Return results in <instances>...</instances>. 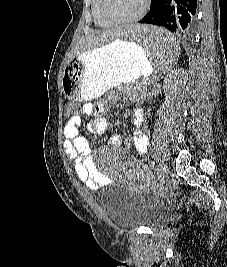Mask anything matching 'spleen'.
<instances>
[{"label": "spleen", "instance_id": "1", "mask_svg": "<svg viewBox=\"0 0 227 267\" xmlns=\"http://www.w3.org/2000/svg\"><path fill=\"white\" fill-rule=\"evenodd\" d=\"M118 30H127L122 33L120 41L138 43L144 47L149 63H153V72L156 77H167V72H172L176 67L180 46L177 38L157 27V23L128 22V25H118Z\"/></svg>", "mask_w": 227, "mask_h": 267}]
</instances>
